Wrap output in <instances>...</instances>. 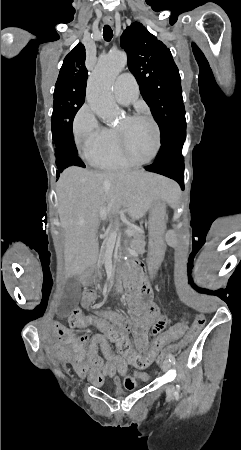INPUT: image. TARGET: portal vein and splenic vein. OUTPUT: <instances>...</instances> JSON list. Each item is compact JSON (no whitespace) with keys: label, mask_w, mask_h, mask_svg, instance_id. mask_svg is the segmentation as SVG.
<instances>
[{"label":"portal vein and splenic vein","mask_w":241,"mask_h":450,"mask_svg":"<svg viewBox=\"0 0 241 450\" xmlns=\"http://www.w3.org/2000/svg\"><path fill=\"white\" fill-rule=\"evenodd\" d=\"M108 210H109V208H108ZM125 230H126V232L122 234L123 236H132L134 234V231H132L133 230L132 228H126ZM116 238H117L116 232H110L109 238H106V240H107V242H115Z\"/></svg>","instance_id":"1"}]
</instances>
